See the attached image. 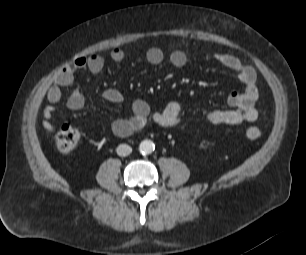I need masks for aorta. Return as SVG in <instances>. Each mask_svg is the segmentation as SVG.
<instances>
[{"mask_svg": "<svg viewBox=\"0 0 306 255\" xmlns=\"http://www.w3.org/2000/svg\"><path fill=\"white\" fill-rule=\"evenodd\" d=\"M155 149V145L151 140H143L139 145V152L142 155H149Z\"/></svg>", "mask_w": 306, "mask_h": 255, "instance_id": "obj_1", "label": "aorta"}]
</instances>
